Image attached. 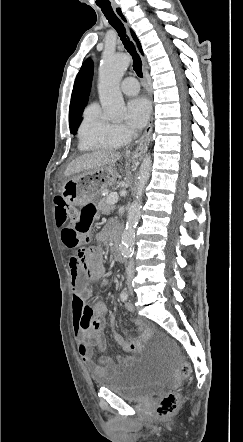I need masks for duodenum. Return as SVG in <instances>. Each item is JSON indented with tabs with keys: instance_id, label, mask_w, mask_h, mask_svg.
I'll use <instances>...</instances> for the list:
<instances>
[{
	"instance_id": "1",
	"label": "duodenum",
	"mask_w": 243,
	"mask_h": 442,
	"mask_svg": "<svg viewBox=\"0 0 243 442\" xmlns=\"http://www.w3.org/2000/svg\"><path fill=\"white\" fill-rule=\"evenodd\" d=\"M122 243L120 240V235L118 233L115 234V252L119 258H122Z\"/></svg>"
}]
</instances>
